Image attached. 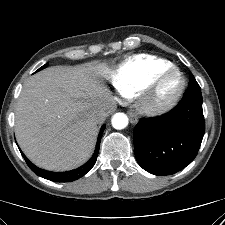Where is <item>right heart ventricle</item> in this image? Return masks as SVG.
<instances>
[{"label": "right heart ventricle", "mask_w": 225, "mask_h": 225, "mask_svg": "<svg viewBox=\"0 0 225 225\" xmlns=\"http://www.w3.org/2000/svg\"><path fill=\"white\" fill-rule=\"evenodd\" d=\"M174 65L163 58L138 54L122 63L112 76L116 90L126 98L137 96L158 74L173 68Z\"/></svg>", "instance_id": "right-heart-ventricle-1"}]
</instances>
